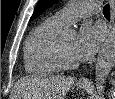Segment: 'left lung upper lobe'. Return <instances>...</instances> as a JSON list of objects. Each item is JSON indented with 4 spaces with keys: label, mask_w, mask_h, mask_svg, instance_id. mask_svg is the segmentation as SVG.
<instances>
[{
    "label": "left lung upper lobe",
    "mask_w": 115,
    "mask_h": 99,
    "mask_svg": "<svg viewBox=\"0 0 115 99\" xmlns=\"http://www.w3.org/2000/svg\"><path fill=\"white\" fill-rule=\"evenodd\" d=\"M58 0H40L34 10V13L30 20H33L37 16H39L42 12H44L48 7L56 3Z\"/></svg>",
    "instance_id": "left-lung-upper-lobe-1"
}]
</instances>
